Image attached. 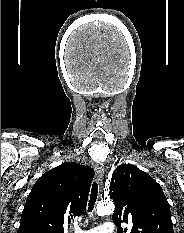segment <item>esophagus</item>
I'll return each instance as SVG.
<instances>
[{
  "label": "esophagus",
  "instance_id": "esophagus-1",
  "mask_svg": "<svg viewBox=\"0 0 184 233\" xmlns=\"http://www.w3.org/2000/svg\"><path fill=\"white\" fill-rule=\"evenodd\" d=\"M104 171V165L102 163L96 166V175L100 183V191H102L103 188Z\"/></svg>",
  "mask_w": 184,
  "mask_h": 233
}]
</instances>
